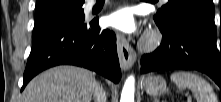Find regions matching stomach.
I'll use <instances>...</instances> for the list:
<instances>
[{
    "instance_id": "obj_1",
    "label": "stomach",
    "mask_w": 221,
    "mask_h": 102,
    "mask_svg": "<svg viewBox=\"0 0 221 102\" xmlns=\"http://www.w3.org/2000/svg\"><path fill=\"white\" fill-rule=\"evenodd\" d=\"M145 91L152 96H160L167 92L166 81L161 76H149L143 82Z\"/></svg>"
}]
</instances>
